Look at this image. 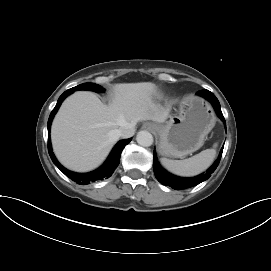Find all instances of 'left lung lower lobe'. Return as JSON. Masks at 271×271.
<instances>
[{
	"instance_id": "obj_1",
	"label": "left lung lower lobe",
	"mask_w": 271,
	"mask_h": 271,
	"mask_svg": "<svg viewBox=\"0 0 271 271\" xmlns=\"http://www.w3.org/2000/svg\"><path fill=\"white\" fill-rule=\"evenodd\" d=\"M197 94L203 96L204 98H206L207 100H209L212 103L216 113L221 118V120L225 123V119H224L222 111H221L220 103H219L218 99L216 98V96L208 90L199 91V92H197ZM222 152H223V148H222L217 160L215 161V163L204 174L198 175L193 178H181V177L174 176V175L168 173L166 170H164L160 166L159 162L157 161L156 152L154 151L153 152L154 173H155L157 180L163 185L170 186L173 189H177V190L190 188V187H193V186L207 180L211 176V173H213L215 171V169L217 168V166L220 162Z\"/></svg>"
}]
</instances>
